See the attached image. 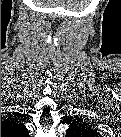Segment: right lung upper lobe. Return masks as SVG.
Segmentation results:
<instances>
[{"label": "right lung upper lobe", "instance_id": "obj_1", "mask_svg": "<svg viewBox=\"0 0 121 137\" xmlns=\"http://www.w3.org/2000/svg\"><path fill=\"white\" fill-rule=\"evenodd\" d=\"M3 131H20L26 133V128L16 119L7 118L5 121L1 122V132Z\"/></svg>", "mask_w": 121, "mask_h": 137}]
</instances>
